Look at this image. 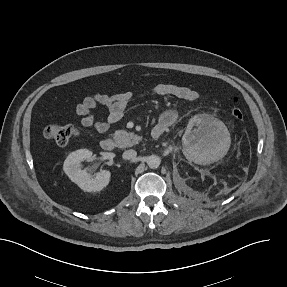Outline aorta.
Here are the masks:
<instances>
[{
    "mask_svg": "<svg viewBox=\"0 0 287 287\" xmlns=\"http://www.w3.org/2000/svg\"><path fill=\"white\" fill-rule=\"evenodd\" d=\"M160 158L156 155H151L147 157V164L150 168L156 169L160 165Z\"/></svg>",
    "mask_w": 287,
    "mask_h": 287,
    "instance_id": "1",
    "label": "aorta"
}]
</instances>
